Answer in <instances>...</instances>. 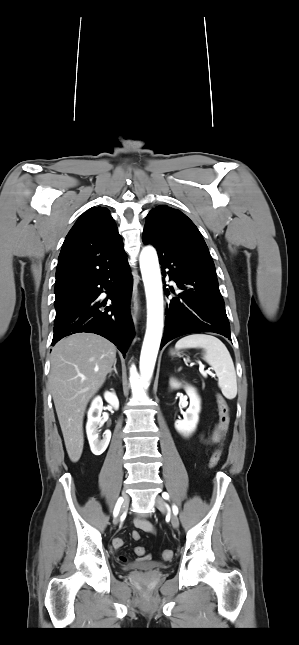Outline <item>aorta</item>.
<instances>
[{"instance_id":"aorta-1","label":"aorta","mask_w":299,"mask_h":645,"mask_svg":"<svg viewBox=\"0 0 299 645\" xmlns=\"http://www.w3.org/2000/svg\"><path fill=\"white\" fill-rule=\"evenodd\" d=\"M140 269L147 300V328L140 355V373L144 380L151 379L163 331V289L156 250L143 248Z\"/></svg>"}]
</instances>
